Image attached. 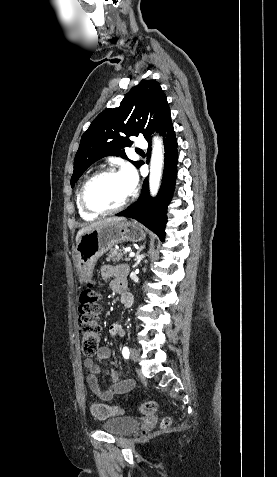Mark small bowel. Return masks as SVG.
Masks as SVG:
<instances>
[{"label": "small bowel", "mask_w": 277, "mask_h": 477, "mask_svg": "<svg viewBox=\"0 0 277 477\" xmlns=\"http://www.w3.org/2000/svg\"><path fill=\"white\" fill-rule=\"evenodd\" d=\"M128 273V267L124 264L111 265L105 264L101 267V276L104 280L110 281L111 287L119 292L121 295L126 293V276ZM110 336L113 338L124 335V330L118 323H113L109 328ZM111 351L108 347L102 346L98 348L93 357H87L84 359V367L88 370L87 385L92 393L98 399L110 400L116 395L129 392L134 382L131 379H125L122 373L117 368L105 369V374L111 376L112 382L109 384L106 390L100 388L98 382V375L101 373V367L99 362L109 359Z\"/></svg>", "instance_id": "obj_1"}]
</instances>
